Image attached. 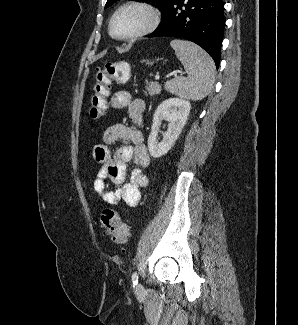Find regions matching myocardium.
Here are the masks:
<instances>
[{
	"mask_svg": "<svg viewBox=\"0 0 298 325\" xmlns=\"http://www.w3.org/2000/svg\"><path fill=\"white\" fill-rule=\"evenodd\" d=\"M128 12L138 13L142 17L143 23L140 29L132 36L128 38L117 37L114 34L115 21L121 14L128 13ZM156 24H157V17L152 8L143 4H128L118 9L112 16L110 26H109V33L110 36L116 41L123 42V43H133L138 39H140L141 37H143L144 35L151 32L155 28Z\"/></svg>",
	"mask_w": 298,
	"mask_h": 325,
	"instance_id": "obj_1",
	"label": "myocardium"
}]
</instances>
